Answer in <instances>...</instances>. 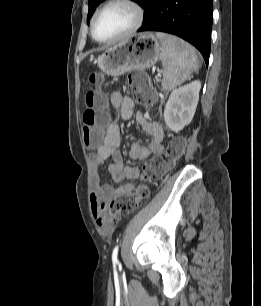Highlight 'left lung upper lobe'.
Segmentation results:
<instances>
[{
	"label": "left lung upper lobe",
	"instance_id": "left-lung-upper-lobe-1",
	"mask_svg": "<svg viewBox=\"0 0 261 306\" xmlns=\"http://www.w3.org/2000/svg\"><path fill=\"white\" fill-rule=\"evenodd\" d=\"M104 0H88V5H89V11L87 15V22L89 24L90 18L92 17L96 7L103 2ZM136 3H138L142 8H145L149 0H132Z\"/></svg>",
	"mask_w": 261,
	"mask_h": 306
}]
</instances>
